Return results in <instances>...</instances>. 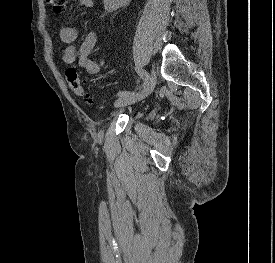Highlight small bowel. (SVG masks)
I'll return each mask as SVG.
<instances>
[{
	"label": "small bowel",
	"instance_id": "1",
	"mask_svg": "<svg viewBox=\"0 0 275 263\" xmlns=\"http://www.w3.org/2000/svg\"><path fill=\"white\" fill-rule=\"evenodd\" d=\"M93 5V0H79L78 8L75 13L90 9ZM60 37L61 41L67 45L63 52V61L65 64H76L89 75H97L101 72L102 68L105 67V64L90 58L97 43V33L95 31L87 33L79 45H76L78 30L73 25L63 27L60 31Z\"/></svg>",
	"mask_w": 275,
	"mask_h": 263
}]
</instances>
